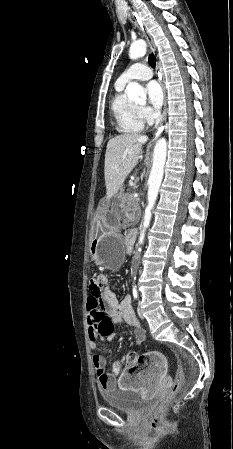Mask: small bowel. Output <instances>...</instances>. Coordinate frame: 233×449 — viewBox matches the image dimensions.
<instances>
[{
    "label": "small bowel",
    "instance_id": "obj_1",
    "mask_svg": "<svg viewBox=\"0 0 233 449\" xmlns=\"http://www.w3.org/2000/svg\"><path fill=\"white\" fill-rule=\"evenodd\" d=\"M111 276L109 274H92L89 279V289L91 296L95 301H99L101 308H106V314L114 324L127 323L133 328L135 341L141 344L145 339V331L136 318L132 309L130 295H124L119 301L114 292L110 289ZM100 334L94 333V328H89L90 348L94 352L92 356L93 365L98 376V384L101 390L110 389L115 382L122 386L124 381L131 384V390L134 391L135 399H156L157 394L162 393V377H166L165 354H150L148 368H141L140 375H128L123 369L120 371V365L115 366V374L106 371V359L97 353ZM114 338H105L106 341H112ZM132 354H127L123 361L132 358ZM122 361V362H123Z\"/></svg>",
    "mask_w": 233,
    "mask_h": 449
}]
</instances>
